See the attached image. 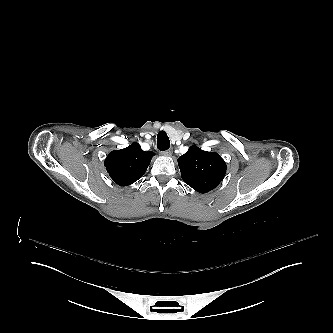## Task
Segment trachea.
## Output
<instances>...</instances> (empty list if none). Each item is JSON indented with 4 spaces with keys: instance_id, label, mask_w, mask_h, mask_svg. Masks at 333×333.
I'll return each mask as SVG.
<instances>
[{
    "instance_id": "3493384b",
    "label": "trachea",
    "mask_w": 333,
    "mask_h": 333,
    "mask_svg": "<svg viewBox=\"0 0 333 333\" xmlns=\"http://www.w3.org/2000/svg\"><path fill=\"white\" fill-rule=\"evenodd\" d=\"M170 147L168 135L164 131H160L157 136V148L161 151H166Z\"/></svg>"
}]
</instances>
